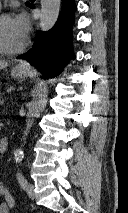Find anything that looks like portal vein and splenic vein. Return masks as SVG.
Segmentation results:
<instances>
[{"mask_svg": "<svg viewBox=\"0 0 128 213\" xmlns=\"http://www.w3.org/2000/svg\"><path fill=\"white\" fill-rule=\"evenodd\" d=\"M4 104V101L3 100H0V105H3Z\"/></svg>", "mask_w": 128, "mask_h": 213, "instance_id": "portal-vein-and-splenic-vein-1", "label": "portal vein and splenic vein"}]
</instances>
